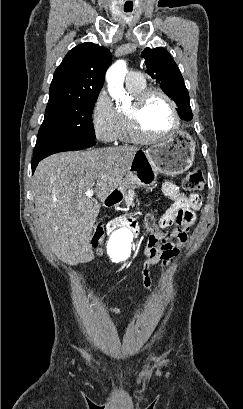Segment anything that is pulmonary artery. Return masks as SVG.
<instances>
[{
  "label": "pulmonary artery",
  "instance_id": "pulmonary-artery-1",
  "mask_svg": "<svg viewBox=\"0 0 243 409\" xmlns=\"http://www.w3.org/2000/svg\"><path fill=\"white\" fill-rule=\"evenodd\" d=\"M144 81V77L140 72H136V71H132L129 72L126 76V84L127 85H141L143 84Z\"/></svg>",
  "mask_w": 243,
  "mask_h": 409
}]
</instances>
